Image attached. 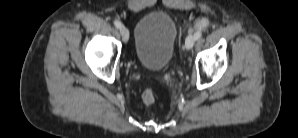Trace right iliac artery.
<instances>
[{"mask_svg":"<svg viewBox=\"0 0 298 138\" xmlns=\"http://www.w3.org/2000/svg\"><path fill=\"white\" fill-rule=\"evenodd\" d=\"M114 25H115V27H117V28H121L123 25H122V23L120 22V21H118V20H116L115 22H114Z\"/></svg>","mask_w":298,"mask_h":138,"instance_id":"right-iliac-artery-1","label":"right iliac artery"}]
</instances>
